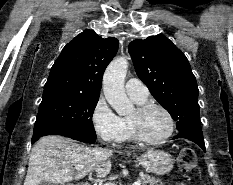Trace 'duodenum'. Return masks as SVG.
Instances as JSON below:
<instances>
[{
	"mask_svg": "<svg viewBox=\"0 0 233 185\" xmlns=\"http://www.w3.org/2000/svg\"><path fill=\"white\" fill-rule=\"evenodd\" d=\"M79 185H89V184H79Z\"/></svg>",
	"mask_w": 233,
	"mask_h": 185,
	"instance_id": "410a0bca",
	"label": "duodenum"
}]
</instances>
